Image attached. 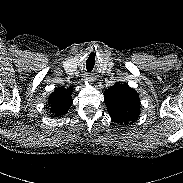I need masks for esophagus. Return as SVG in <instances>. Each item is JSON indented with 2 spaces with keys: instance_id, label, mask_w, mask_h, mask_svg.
Here are the masks:
<instances>
[{
  "instance_id": "esophagus-1",
  "label": "esophagus",
  "mask_w": 183,
  "mask_h": 183,
  "mask_svg": "<svg viewBox=\"0 0 183 183\" xmlns=\"http://www.w3.org/2000/svg\"><path fill=\"white\" fill-rule=\"evenodd\" d=\"M86 80H87L88 82H93V81H94V78H93V76L88 75V76L86 77Z\"/></svg>"
}]
</instances>
